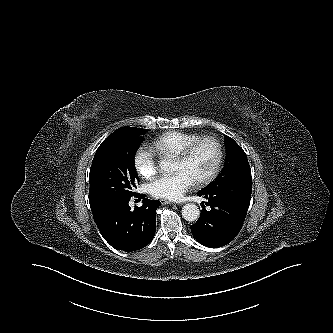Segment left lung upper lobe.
<instances>
[{
	"mask_svg": "<svg viewBox=\"0 0 333 333\" xmlns=\"http://www.w3.org/2000/svg\"><path fill=\"white\" fill-rule=\"evenodd\" d=\"M226 146V163L222 173L208 185V188H217L226 193L250 200L251 197V169L244 150L229 136L224 138Z\"/></svg>",
	"mask_w": 333,
	"mask_h": 333,
	"instance_id": "left-lung-upper-lobe-1",
	"label": "left lung upper lobe"
}]
</instances>
